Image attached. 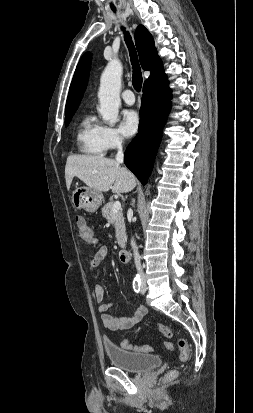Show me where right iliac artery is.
<instances>
[{"instance_id": "82829eb1", "label": "right iliac artery", "mask_w": 253, "mask_h": 413, "mask_svg": "<svg viewBox=\"0 0 253 413\" xmlns=\"http://www.w3.org/2000/svg\"><path fill=\"white\" fill-rule=\"evenodd\" d=\"M133 289L136 293L140 292L141 289V279L139 275H136L133 280Z\"/></svg>"}]
</instances>
